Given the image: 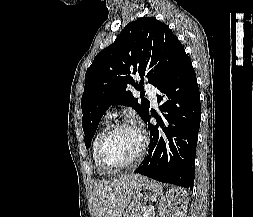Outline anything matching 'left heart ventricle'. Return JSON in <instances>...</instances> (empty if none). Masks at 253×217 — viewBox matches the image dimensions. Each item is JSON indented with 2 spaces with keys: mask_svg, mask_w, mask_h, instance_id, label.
<instances>
[{
  "mask_svg": "<svg viewBox=\"0 0 253 217\" xmlns=\"http://www.w3.org/2000/svg\"><path fill=\"white\" fill-rule=\"evenodd\" d=\"M141 139L134 128L116 130L107 139L103 148V160L110 167H120L129 163L138 153Z\"/></svg>",
  "mask_w": 253,
  "mask_h": 217,
  "instance_id": "b2bd125f",
  "label": "left heart ventricle"
}]
</instances>
